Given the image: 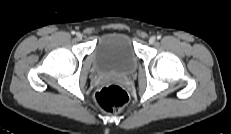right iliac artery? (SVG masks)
Masks as SVG:
<instances>
[{
	"label": "right iliac artery",
	"mask_w": 231,
	"mask_h": 134,
	"mask_svg": "<svg viewBox=\"0 0 231 134\" xmlns=\"http://www.w3.org/2000/svg\"><path fill=\"white\" fill-rule=\"evenodd\" d=\"M71 33L74 35L76 32H75V31H72Z\"/></svg>",
	"instance_id": "right-iliac-artery-1"
}]
</instances>
